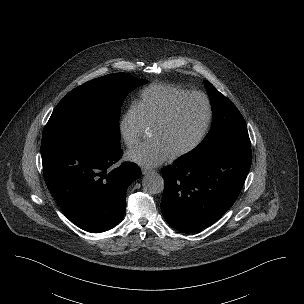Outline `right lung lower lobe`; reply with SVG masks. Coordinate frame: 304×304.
I'll return each mask as SVG.
<instances>
[{
    "instance_id": "right-lung-lower-lobe-1",
    "label": "right lung lower lobe",
    "mask_w": 304,
    "mask_h": 304,
    "mask_svg": "<svg viewBox=\"0 0 304 304\" xmlns=\"http://www.w3.org/2000/svg\"><path fill=\"white\" fill-rule=\"evenodd\" d=\"M122 150L69 140L41 146L43 173L64 215L88 232H103L118 224L126 208V190L141 176L131 162L114 164Z\"/></svg>"
}]
</instances>
